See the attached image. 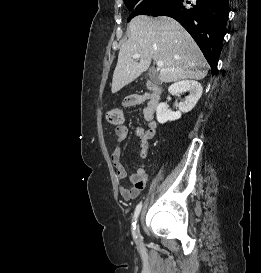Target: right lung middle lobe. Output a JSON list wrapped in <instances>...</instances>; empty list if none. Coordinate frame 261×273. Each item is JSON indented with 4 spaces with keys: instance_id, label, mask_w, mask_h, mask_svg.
Wrapping results in <instances>:
<instances>
[{
    "instance_id": "1",
    "label": "right lung middle lobe",
    "mask_w": 261,
    "mask_h": 273,
    "mask_svg": "<svg viewBox=\"0 0 261 273\" xmlns=\"http://www.w3.org/2000/svg\"><path fill=\"white\" fill-rule=\"evenodd\" d=\"M170 1L171 0H124L126 7L134 11L128 20L141 14L149 15L150 12Z\"/></svg>"
}]
</instances>
